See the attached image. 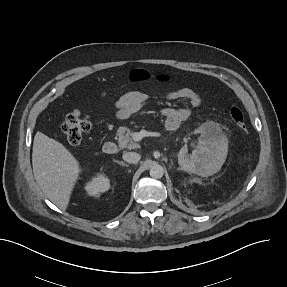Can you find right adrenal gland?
<instances>
[{"label": "right adrenal gland", "mask_w": 287, "mask_h": 287, "mask_svg": "<svg viewBox=\"0 0 287 287\" xmlns=\"http://www.w3.org/2000/svg\"><path fill=\"white\" fill-rule=\"evenodd\" d=\"M121 166L127 167L128 165L125 164L124 162H118Z\"/></svg>", "instance_id": "right-adrenal-gland-1"}]
</instances>
